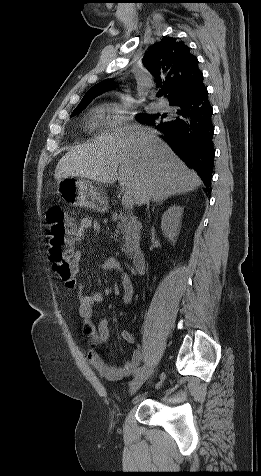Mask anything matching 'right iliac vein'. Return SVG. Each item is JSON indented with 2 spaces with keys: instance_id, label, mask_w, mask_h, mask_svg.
<instances>
[{
  "instance_id": "63e3f726",
  "label": "right iliac vein",
  "mask_w": 261,
  "mask_h": 476,
  "mask_svg": "<svg viewBox=\"0 0 261 476\" xmlns=\"http://www.w3.org/2000/svg\"><path fill=\"white\" fill-rule=\"evenodd\" d=\"M149 372H142L138 374L130 383L129 391L131 394L136 393V391L143 385L149 376Z\"/></svg>"
}]
</instances>
